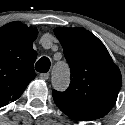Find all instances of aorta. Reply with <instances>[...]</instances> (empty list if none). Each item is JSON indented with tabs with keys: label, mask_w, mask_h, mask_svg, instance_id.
<instances>
[{
	"label": "aorta",
	"mask_w": 125,
	"mask_h": 125,
	"mask_svg": "<svg viewBox=\"0 0 125 125\" xmlns=\"http://www.w3.org/2000/svg\"><path fill=\"white\" fill-rule=\"evenodd\" d=\"M52 85L59 90L64 89L69 83V70L66 64L55 65L52 74Z\"/></svg>",
	"instance_id": "aorta-1"
}]
</instances>
